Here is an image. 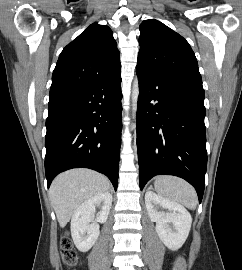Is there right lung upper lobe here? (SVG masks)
I'll list each match as a JSON object with an SVG mask.
<instances>
[{"instance_id": "right-lung-upper-lobe-1", "label": "right lung upper lobe", "mask_w": 242, "mask_h": 270, "mask_svg": "<svg viewBox=\"0 0 242 270\" xmlns=\"http://www.w3.org/2000/svg\"><path fill=\"white\" fill-rule=\"evenodd\" d=\"M120 68V54L111 29L95 22L61 52L53 71L49 99L82 89Z\"/></svg>"}]
</instances>
